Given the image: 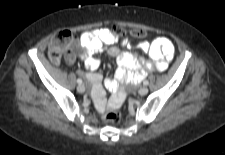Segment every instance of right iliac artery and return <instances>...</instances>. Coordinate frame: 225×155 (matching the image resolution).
<instances>
[{
  "mask_svg": "<svg viewBox=\"0 0 225 155\" xmlns=\"http://www.w3.org/2000/svg\"><path fill=\"white\" fill-rule=\"evenodd\" d=\"M77 83L78 84H82V80L79 78V79H77Z\"/></svg>",
  "mask_w": 225,
  "mask_h": 155,
  "instance_id": "obj_1",
  "label": "right iliac artery"
}]
</instances>
